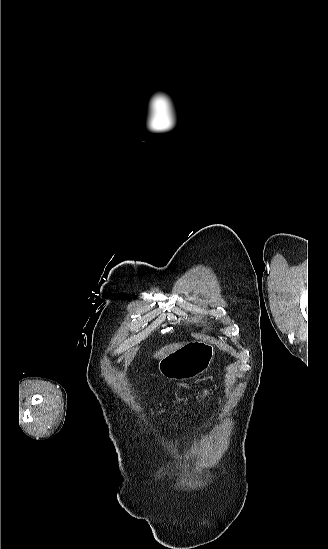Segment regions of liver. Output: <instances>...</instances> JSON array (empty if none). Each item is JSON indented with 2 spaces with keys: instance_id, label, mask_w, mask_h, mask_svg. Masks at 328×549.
Segmentation results:
<instances>
[{
  "instance_id": "1",
  "label": "liver",
  "mask_w": 328,
  "mask_h": 549,
  "mask_svg": "<svg viewBox=\"0 0 328 549\" xmlns=\"http://www.w3.org/2000/svg\"><path fill=\"white\" fill-rule=\"evenodd\" d=\"M179 347H182L180 343H174V345H167V347H163V349H160V351H156L153 357L154 359H162V357H167L169 353H173V351H176V349H179Z\"/></svg>"
}]
</instances>
